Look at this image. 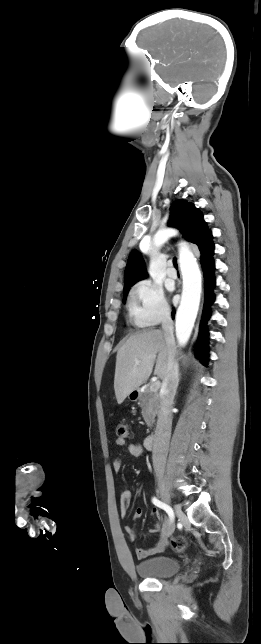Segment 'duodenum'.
<instances>
[{
	"label": "duodenum",
	"mask_w": 261,
	"mask_h": 644,
	"mask_svg": "<svg viewBox=\"0 0 261 644\" xmlns=\"http://www.w3.org/2000/svg\"><path fill=\"white\" fill-rule=\"evenodd\" d=\"M156 436L154 434L148 435L144 439V446L146 449L151 450L155 446Z\"/></svg>",
	"instance_id": "1"
}]
</instances>
